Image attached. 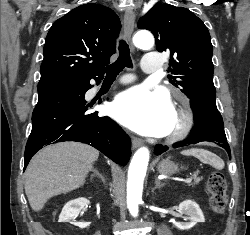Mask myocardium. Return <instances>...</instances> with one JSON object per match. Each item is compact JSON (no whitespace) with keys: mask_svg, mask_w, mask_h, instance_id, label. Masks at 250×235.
<instances>
[{"mask_svg":"<svg viewBox=\"0 0 250 235\" xmlns=\"http://www.w3.org/2000/svg\"><path fill=\"white\" fill-rule=\"evenodd\" d=\"M175 115L178 121L177 126L164 138L166 143L183 140L189 135L194 125V114L186 100L181 101V104L175 110Z\"/></svg>","mask_w":250,"mask_h":235,"instance_id":"1","label":"myocardium"}]
</instances>
